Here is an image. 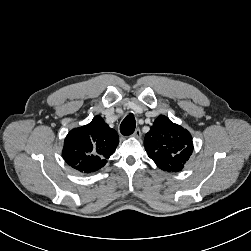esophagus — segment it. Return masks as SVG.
<instances>
[{"label":"esophagus","mask_w":251,"mask_h":251,"mask_svg":"<svg viewBox=\"0 0 251 251\" xmlns=\"http://www.w3.org/2000/svg\"><path fill=\"white\" fill-rule=\"evenodd\" d=\"M141 135H142V134H141V131H140L139 128H137V129L133 132V134H132V136L135 137V138H140Z\"/></svg>","instance_id":"34e87169"}]
</instances>
